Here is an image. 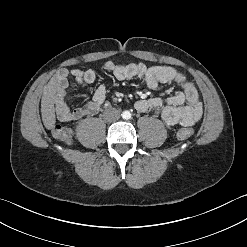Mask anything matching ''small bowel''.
Wrapping results in <instances>:
<instances>
[{"label":"small bowel","mask_w":247,"mask_h":247,"mask_svg":"<svg viewBox=\"0 0 247 247\" xmlns=\"http://www.w3.org/2000/svg\"><path fill=\"white\" fill-rule=\"evenodd\" d=\"M106 73L112 74L117 80L123 81L137 78L143 81L149 89H158L161 84L176 83L182 90L166 100L160 98H142L135 103L137 111H150L159 115L168 125L192 126L202 115L203 108L196 87L178 69L171 66L147 67L143 63L116 64L108 61L103 65ZM97 73L93 69H62L53 81L55 94L53 104L57 119L62 122L76 121L86 116L95 115L106 100L107 89L104 84L99 85L91 100L84 106L70 109L65 101L69 79H73L77 86L92 84Z\"/></svg>","instance_id":"obj_1"}]
</instances>
